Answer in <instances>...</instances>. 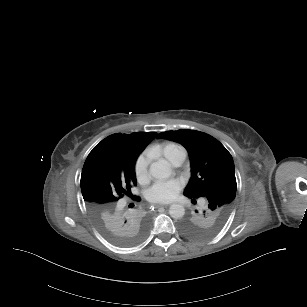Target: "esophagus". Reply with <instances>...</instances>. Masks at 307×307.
<instances>
[{
    "label": "esophagus",
    "mask_w": 307,
    "mask_h": 307,
    "mask_svg": "<svg viewBox=\"0 0 307 307\" xmlns=\"http://www.w3.org/2000/svg\"><path fill=\"white\" fill-rule=\"evenodd\" d=\"M152 206L155 207V208L163 207V205H161V204H152Z\"/></svg>",
    "instance_id": "esophagus-1"
}]
</instances>
